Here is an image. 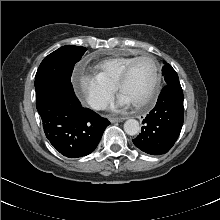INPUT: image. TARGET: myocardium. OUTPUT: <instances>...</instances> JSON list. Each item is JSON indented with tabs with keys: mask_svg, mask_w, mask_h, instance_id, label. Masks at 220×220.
I'll return each mask as SVG.
<instances>
[{
	"mask_svg": "<svg viewBox=\"0 0 220 220\" xmlns=\"http://www.w3.org/2000/svg\"><path fill=\"white\" fill-rule=\"evenodd\" d=\"M146 58L151 59L153 62L154 78H153V82H152V85H151V88H150L148 95L140 102L133 103V106L136 108H141V107H144V106L150 104L157 94V91H158L159 85H160V81H161V67H160L158 60L151 54H144V55H141V56L134 58L124 69L123 73L121 74V76L118 80L117 86H116L118 92L121 93L122 88L126 84V82L128 81V79L131 75L132 69L135 66V64L143 59H146Z\"/></svg>",
	"mask_w": 220,
	"mask_h": 220,
	"instance_id": "myocardium-1",
	"label": "myocardium"
}]
</instances>
